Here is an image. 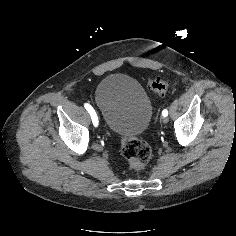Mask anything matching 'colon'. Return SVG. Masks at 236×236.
<instances>
[{"instance_id":"1","label":"colon","mask_w":236,"mask_h":236,"mask_svg":"<svg viewBox=\"0 0 236 236\" xmlns=\"http://www.w3.org/2000/svg\"><path fill=\"white\" fill-rule=\"evenodd\" d=\"M148 87L155 93L164 95L171 89L168 80L160 78L151 79ZM121 150L130 169L140 171L146 167L151 158V147L136 137H127L121 140Z\"/></svg>"}]
</instances>
